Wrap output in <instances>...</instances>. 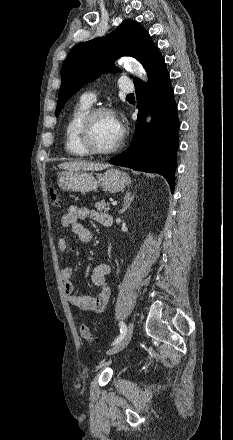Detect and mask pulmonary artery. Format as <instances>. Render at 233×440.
<instances>
[{
  "instance_id": "1",
  "label": "pulmonary artery",
  "mask_w": 233,
  "mask_h": 440,
  "mask_svg": "<svg viewBox=\"0 0 233 440\" xmlns=\"http://www.w3.org/2000/svg\"><path fill=\"white\" fill-rule=\"evenodd\" d=\"M119 88L122 92H126V93L134 91L133 84L127 80L126 76L121 77ZM95 99H96L95 94L91 92L85 93L81 96V101L89 105H91L95 101Z\"/></svg>"
}]
</instances>
